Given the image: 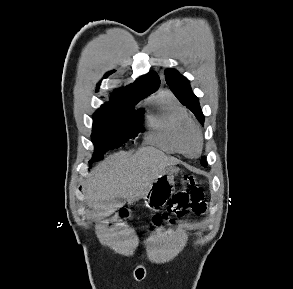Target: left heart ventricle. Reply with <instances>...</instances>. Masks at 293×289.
<instances>
[{"label": "left heart ventricle", "instance_id": "obj_1", "mask_svg": "<svg viewBox=\"0 0 293 289\" xmlns=\"http://www.w3.org/2000/svg\"><path fill=\"white\" fill-rule=\"evenodd\" d=\"M185 142L189 152L195 153L197 149V142L194 133L189 130L185 136Z\"/></svg>", "mask_w": 293, "mask_h": 289}]
</instances>
